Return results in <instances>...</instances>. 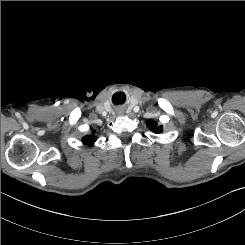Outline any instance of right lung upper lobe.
<instances>
[{
  "label": "right lung upper lobe",
  "mask_w": 245,
  "mask_h": 245,
  "mask_svg": "<svg viewBox=\"0 0 245 245\" xmlns=\"http://www.w3.org/2000/svg\"><path fill=\"white\" fill-rule=\"evenodd\" d=\"M96 140H97L96 136L87 135V136L83 137L82 142L85 145L92 146L95 143Z\"/></svg>",
  "instance_id": "cb5924a9"
}]
</instances>
